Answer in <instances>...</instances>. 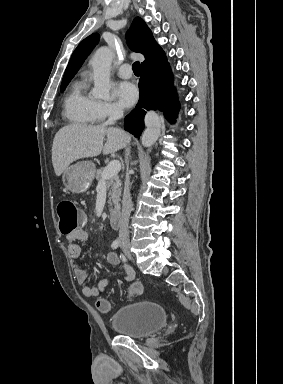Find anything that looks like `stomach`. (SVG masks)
I'll return each mask as SVG.
<instances>
[{
    "instance_id": "0dacf381",
    "label": "stomach",
    "mask_w": 283,
    "mask_h": 384,
    "mask_svg": "<svg viewBox=\"0 0 283 384\" xmlns=\"http://www.w3.org/2000/svg\"><path fill=\"white\" fill-rule=\"evenodd\" d=\"M95 178L93 162H77L63 172L62 182L64 188L72 194H83L90 188Z\"/></svg>"
}]
</instances>
